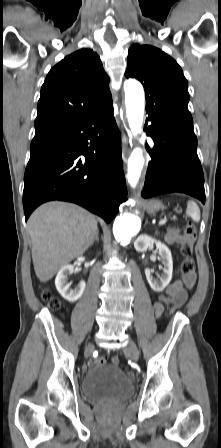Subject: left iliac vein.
<instances>
[{
  "instance_id": "1",
  "label": "left iliac vein",
  "mask_w": 221,
  "mask_h": 448,
  "mask_svg": "<svg viewBox=\"0 0 221 448\" xmlns=\"http://www.w3.org/2000/svg\"><path fill=\"white\" fill-rule=\"evenodd\" d=\"M125 353H128L135 361L139 360L140 352L138 347L133 341H129L127 345L123 348Z\"/></svg>"
}]
</instances>
